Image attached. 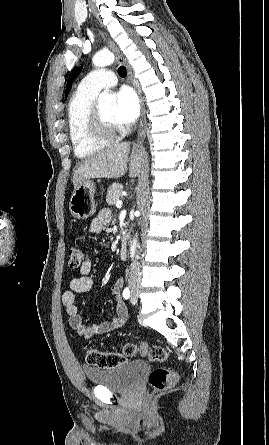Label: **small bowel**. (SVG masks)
Instances as JSON below:
<instances>
[{
  "label": "small bowel",
  "instance_id": "1",
  "mask_svg": "<svg viewBox=\"0 0 269 445\" xmlns=\"http://www.w3.org/2000/svg\"><path fill=\"white\" fill-rule=\"evenodd\" d=\"M110 221L111 212L108 209H104L91 221L89 229L92 233H100ZM92 267L93 261L91 259L84 260L79 268V276L70 281V289L62 294V303L66 309L70 327L85 338H92L118 329L122 327L128 319V309L121 299L124 279L118 278L111 286V293L116 299V315L112 319L102 323L93 325H86L84 323L75 302V294L86 293L93 288L94 279L91 275Z\"/></svg>",
  "mask_w": 269,
  "mask_h": 445
}]
</instances>
